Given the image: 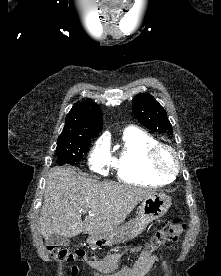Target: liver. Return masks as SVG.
Segmentation results:
<instances>
[{
	"label": "liver",
	"instance_id": "1",
	"mask_svg": "<svg viewBox=\"0 0 221 276\" xmlns=\"http://www.w3.org/2000/svg\"><path fill=\"white\" fill-rule=\"evenodd\" d=\"M155 191L87 178L71 167H53L46 179L40 230L75 237L81 232L101 235L115 231L136 205ZM88 216L81 220L82 212Z\"/></svg>",
	"mask_w": 221,
	"mask_h": 276
}]
</instances>
